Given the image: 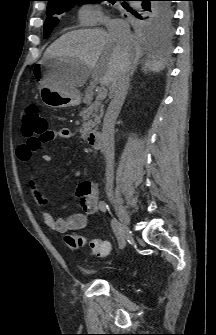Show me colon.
Instances as JSON below:
<instances>
[{
	"label": "colon",
	"mask_w": 216,
	"mask_h": 335,
	"mask_svg": "<svg viewBox=\"0 0 216 335\" xmlns=\"http://www.w3.org/2000/svg\"><path fill=\"white\" fill-rule=\"evenodd\" d=\"M50 132L48 121L40 115L37 106L29 105L22 117V134L28 138V145L33 152L41 150ZM65 242L69 248L78 250L86 244V239L78 234L71 233L66 235ZM89 246L92 253L98 257L106 256L110 251L106 244L98 239L89 241Z\"/></svg>",
	"instance_id": "5ec220e1"
}]
</instances>
